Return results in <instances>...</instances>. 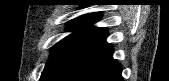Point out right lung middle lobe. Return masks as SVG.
I'll use <instances>...</instances> for the list:
<instances>
[{
	"instance_id": "dd1d6c3e",
	"label": "right lung middle lobe",
	"mask_w": 169,
	"mask_h": 81,
	"mask_svg": "<svg viewBox=\"0 0 169 81\" xmlns=\"http://www.w3.org/2000/svg\"><path fill=\"white\" fill-rule=\"evenodd\" d=\"M85 24H87L86 22H84L83 20H78V19H74L71 20L68 23V31H74L76 29L81 28L82 26H84ZM71 36V35H70ZM66 37L63 40H61L60 42H58L52 49H51V56L56 52V50L70 37Z\"/></svg>"
}]
</instances>
